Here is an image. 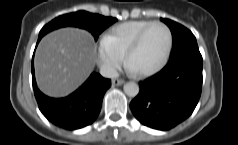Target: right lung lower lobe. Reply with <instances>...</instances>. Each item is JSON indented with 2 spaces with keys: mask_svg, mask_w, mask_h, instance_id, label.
<instances>
[{
  "mask_svg": "<svg viewBox=\"0 0 238 145\" xmlns=\"http://www.w3.org/2000/svg\"><path fill=\"white\" fill-rule=\"evenodd\" d=\"M40 39L38 38V42ZM32 84L42 114L60 128L76 130L92 124L97 118L104 94L111 86V80L98 73H92L71 95L59 99L50 98L37 88L32 59Z\"/></svg>",
  "mask_w": 238,
  "mask_h": 145,
  "instance_id": "right-lung-lower-lobe-1",
  "label": "right lung lower lobe"
}]
</instances>
